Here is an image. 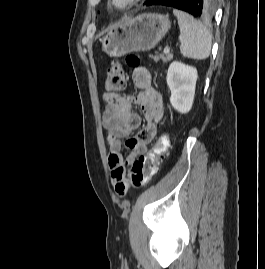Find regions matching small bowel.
<instances>
[{"label": "small bowel", "mask_w": 265, "mask_h": 269, "mask_svg": "<svg viewBox=\"0 0 265 269\" xmlns=\"http://www.w3.org/2000/svg\"><path fill=\"white\" fill-rule=\"evenodd\" d=\"M133 81L139 93L133 96H120L115 93H104L106 104L102 116V124L107 132L109 145L108 165L111 183L117 191L119 186L126 187L125 162H131L134 157L144 153L157 132V123L163 116V103L160 93L155 89L150 72L139 67L133 73ZM137 103L142 111L146 125L141 131L131 136L137 130L142 117L135 113L132 104ZM130 150V155L124 161L122 144Z\"/></svg>", "instance_id": "small-bowel-1"}]
</instances>
